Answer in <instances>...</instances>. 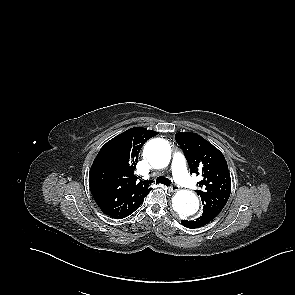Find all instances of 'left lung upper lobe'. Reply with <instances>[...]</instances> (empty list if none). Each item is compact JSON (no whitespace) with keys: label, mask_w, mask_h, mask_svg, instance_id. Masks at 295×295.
Listing matches in <instances>:
<instances>
[{"label":"left lung upper lobe","mask_w":295,"mask_h":295,"mask_svg":"<svg viewBox=\"0 0 295 295\" xmlns=\"http://www.w3.org/2000/svg\"><path fill=\"white\" fill-rule=\"evenodd\" d=\"M175 138L185 154L190 173L203 177L198 182L202 190H196L203 210L221 211L231 193V178L224 155L196 133H176Z\"/></svg>","instance_id":"5c2ea615"}]
</instances>
